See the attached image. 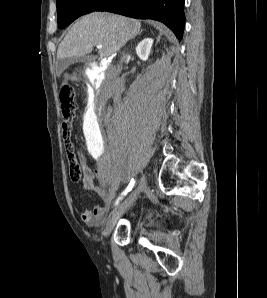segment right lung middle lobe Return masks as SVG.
<instances>
[{
  "label": "right lung middle lobe",
  "instance_id": "obj_1",
  "mask_svg": "<svg viewBox=\"0 0 267 298\" xmlns=\"http://www.w3.org/2000/svg\"><path fill=\"white\" fill-rule=\"evenodd\" d=\"M104 0H57L58 27L64 28L78 17L93 12Z\"/></svg>",
  "mask_w": 267,
  "mask_h": 298
}]
</instances>
